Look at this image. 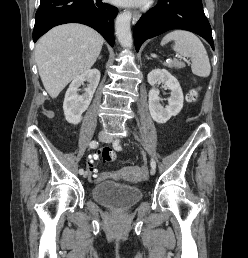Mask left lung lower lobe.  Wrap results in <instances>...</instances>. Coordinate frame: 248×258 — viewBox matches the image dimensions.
I'll return each mask as SVG.
<instances>
[{"mask_svg":"<svg viewBox=\"0 0 248 258\" xmlns=\"http://www.w3.org/2000/svg\"><path fill=\"white\" fill-rule=\"evenodd\" d=\"M171 29H184L203 37L214 50L210 24L201 0H159L142 15L134 29L136 51L141 44Z\"/></svg>","mask_w":248,"mask_h":258,"instance_id":"0a47b994","label":"left lung lower lobe"}]
</instances>
